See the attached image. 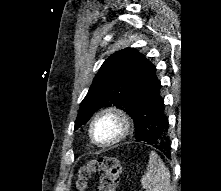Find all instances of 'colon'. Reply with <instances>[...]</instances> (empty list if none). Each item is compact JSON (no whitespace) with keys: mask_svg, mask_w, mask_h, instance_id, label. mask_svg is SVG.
Listing matches in <instances>:
<instances>
[{"mask_svg":"<svg viewBox=\"0 0 221 191\" xmlns=\"http://www.w3.org/2000/svg\"><path fill=\"white\" fill-rule=\"evenodd\" d=\"M93 172L100 174L96 191H116L122 173V165L118 158L102 156L83 165L78 173L79 189L85 188Z\"/></svg>","mask_w":221,"mask_h":191,"instance_id":"colon-1","label":"colon"}]
</instances>
